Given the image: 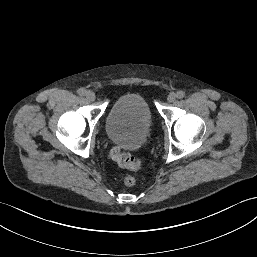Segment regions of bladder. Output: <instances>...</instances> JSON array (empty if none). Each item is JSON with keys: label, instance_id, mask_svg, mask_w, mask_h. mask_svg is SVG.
I'll list each match as a JSON object with an SVG mask.
<instances>
[{"label": "bladder", "instance_id": "obj_1", "mask_svg": "<svg viewBox=\"0 0 257 257\" xmlns=\"http://www.w3.org/2000/svg\"><path fill=\"white\" fill-rule=\"evenodd\" d=\"M153 129V119L146 99L137 93H125L112 104L106 120L108 138L125 149L141 147Z\"/></svg>", "mask_w": 257, "mask_h": 257}]
</instances>
